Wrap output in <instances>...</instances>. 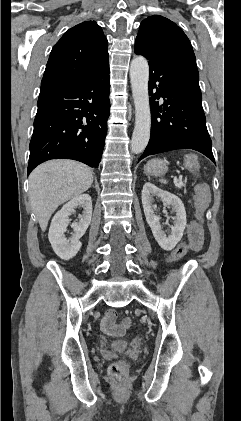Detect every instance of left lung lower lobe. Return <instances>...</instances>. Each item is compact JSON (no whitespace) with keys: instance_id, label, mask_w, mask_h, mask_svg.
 <instances>
[{"instance_id":"obj_1","label":"left lung lower lobe","mask_w":241,"mask_h":421,"mask_svg":"<svg viewBox=\"0 0 241 421\" xmlns=\"http://www.w3.org/2000/svg\"><path fill=\"white\" fill-rule=\"evenodd\" d=\"M135 53L149 61V95L152 115L150 140L139 161L149 155L176 149H193L214 163L206 127L195 63L158 55L135 42ZM162 97L159 105L156 99Z\"/></svg>"}]
</instances>
